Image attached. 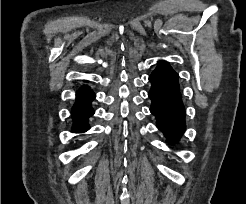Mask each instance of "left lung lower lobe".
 I'll return each instance as SVG.
<instances>
[{
    "label": "left lung lower lobe",
    "mask_w": 246,
    "mask_h": 204,
    "mask_svg": "<svg viewBox=\"0 0 246 204\" xmlns=\"http://www.w3.org/2000/svg\"><path fill=\"white\" fill-rule=\"evenodd\" d=\"M152 83L148 96L152 100L151 113L157 127L172 142L185 130V110L181 101L178 74L165 61H160L149 77Z\"/></svg>",
    "instance_id": "1"
}]
</instances>
